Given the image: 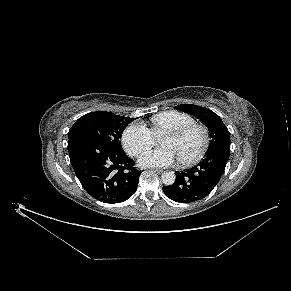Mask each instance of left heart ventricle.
<instances>
[{
  "instance_id": "b2bd125f",
  "label": "left heart ventricle",
  "mask_w": 291,
  "mask_h": 291,
  "mask_svg": "<svg viewBox=\"0 0 291 291\" xmlns=\"http://www.w3.org/2000/svg\"><path fill=\"white\" fill-rule=\"evenodd\" d=\"M202 142V134L200 131H194L183 138H173L164 136L161 146L171 148L175 151L178 159L189 158L199 149Z\"/></svg>"
}]
</instances>
